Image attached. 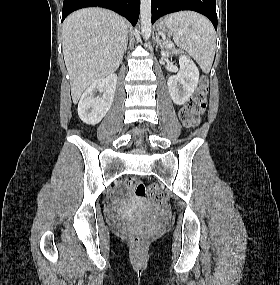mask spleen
<instances>
[{
  "label": "spleen",
  "instance_id": "obj_1",
  "mask_svg": "<svg viewBox=\"0 0 280 285\" xmlns=\"http://www.w3.org/2000/svg\"><path fill=\"white\" fill-rule=\"evenodd\" d=\"M164 22L177 44L193 57L203 72L209 73L216 49V35L211 22L191 11L170 14Z\"/></svg>",
  "mask_w": 280,
  "mask_h": 285
}]
</instances>
